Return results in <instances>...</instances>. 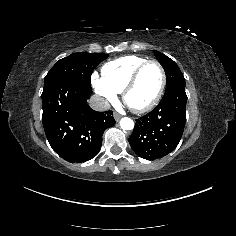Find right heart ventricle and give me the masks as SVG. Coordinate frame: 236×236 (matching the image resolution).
Listing matches in <instances>:
<instances>
[{"label":"right heart ventricle","instance_id":"1","mask_svg":"<svg viewBox=\"0 0 236 236\" xmlns=\"http://www.w3.org/2000/svg\"><path fill=\"white\" fill-rule=\"evenodd\" d=\"M146 60V58L136 55L116 58L102 66L101 78L112 91L122 93L133 71Z\"/></svg>","mask_w":236,"mask_h":236}]
</instances>
